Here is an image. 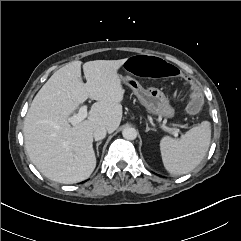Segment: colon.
<instances>
[{
  "label": "colon",
  "instance_id": "obj_1",
  "mask_svg": "<svg viewBox=\"0 0 241 241\" xmlns=\"http://www.w3.org/2000/svg\"><path fill=\"white\" fill-rule=\"evenodd\" d=\"M125 69L130 73H138L142 77H157L160 79L175 80L181 74L180 67L170 60L159 56L141 52L137 56H130L124 62ZM189 88L198 92L196 86L188 83ZM203 104L201 95L194 94L190 100L188 109L191 113L200 111Z\"/></svg>",
  "mask_w": 241,
  "mask_h": 241
}]
</instances>
